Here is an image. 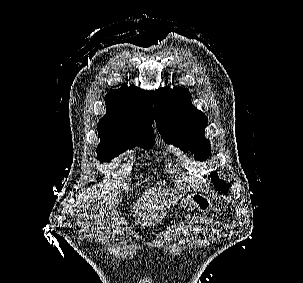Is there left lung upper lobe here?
I'll return each mask as SVG.
<instances>
[{"label": "left lung upper lobe", "mask_w": 303, "mask_h": 283, "mask_svg": "<svg viewBox=\"0 0 303 283\" xmlns=\"http://www.w3.org/2000/svg\"><path fill=\"white\" fill-rule=\"evenodd\" d=\"M155 121L164 141L184 151H191L197 160H206L211 151L209 140L205 138L207 117L191 103L188 89L169 86L155 92ZM217 190H229V185L220 180L216 173L211 175Z\"/></svg>", "instance_id": "5c2ea615"}]
</instances>
